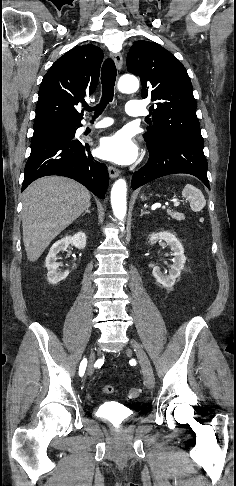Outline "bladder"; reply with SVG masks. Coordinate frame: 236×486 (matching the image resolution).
I'll return each instance as SVG.
<instances>
[{"label": "bladder", "mask_w": 236, "mask_h": 486, "mask_svg": "<svg viewBox=\"0 0 236 486\" xmlns=\"http://www.w3.org/2000/svg\"><path fill=\"white\" fill-rule=\"evenodd\" d=\"M96 411L100 417L109 420L124 421L131 417L121 406L111 402L100 404Z\"/></svg>", "instance_id": "1"}]
</instances>
